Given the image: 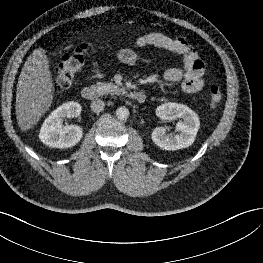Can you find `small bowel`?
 <instances>
[{"instance_id": "c3829d8e", "label": "small bowel", "mask_w": 263, "mask_h": 263, "mask_svg": "<svg viewBox=\"0 0 263 263\" xmlns=\"http://www.w3.org/2000/svg\"><path fill=\"white\" fill-rule=\"evenodd\" d=\"M146 46H153L181 56L182 67L166 70L162 75L165 82L182 81V91L187 94L199 92L203 88L204 62L183 36L169 37L158 32L148 33L136 40L134 48L120 50L117 57L124 64L134 65L138 59L136 50Z\"/></svg>"}]
</instances>
